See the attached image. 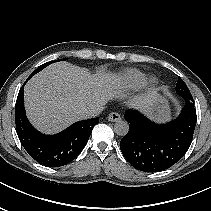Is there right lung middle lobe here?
Masks as SVG:
<instances>
[{
    "mask_svg": "<svg viewBox=\"0 0 211 211\" xmlns=\"http://www.w3.org/2000/svg\"><path fill=\"white\" fill-rule=\"evenodd\" d=\"M67 59H68V58H66V59H60V60H55V61H50V62L44 63V64L41 65L39 68H37V69L30 75V77H32L34 74L38 73L39 71H41L42 69H44L46 66L50 65L51 63L58 62V61H66Z\"/></svg>",
    "mask_w": 211,
    "mask_h": 211,
    "instance_id": "obj_1",
    "label": "right lung middle lobe"
}]
</instances>
